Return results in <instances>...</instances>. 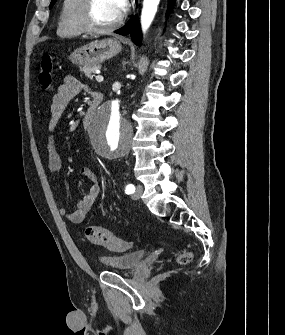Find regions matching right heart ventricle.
Instances as JSON below:
<instances>
[{"instance_id": "obj_1", "label": "right heart ventricle", "mask_w": 285, "mask_h": 335, "mask_svg": "<svg viewBox=\"0 0 285 335\" xmlns=\"http://www.w3.org/2000/svg\"><path fill=\"white\" fill-rule=\"evenodd\" d=\"M80 5L81 1H62L56 29L61 39L73 40L83 34L78 21Z\"/></svg>"}]
</instances>
